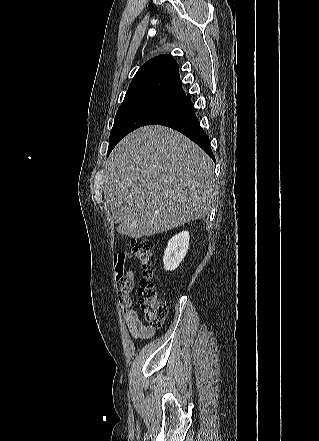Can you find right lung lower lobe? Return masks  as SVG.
Masks as SVG:
<instances>
[{"mask_svg":"<svg viewBox=\"0 0 319 441\" xmlns=\"http://www.w3.org/2000/svg\"><path fill=\"white\" fill-rule=\"evenodd\" d=\"M158 124L173 128L200 146L214 161L210 140L195 115L189 96L154 117L147 125Z\"/></svg>","mask_w":319,"mask_h":441,"instance_id":"obj_1","label":"right lung lower lobe"}]
</instances>
